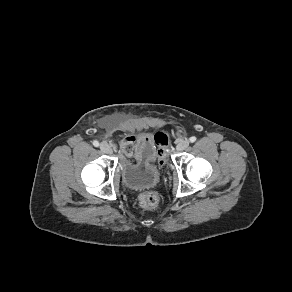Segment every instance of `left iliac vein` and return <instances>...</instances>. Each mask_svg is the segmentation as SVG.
I'll return each instance as SVG.
<instances>
[{"mask_svg": "<svg viewBox=\"0 0 292 292\" xmlns=\"http://www.w3.org/2000/svg\"><path fill=\"white\" fill-rule=\"evenodd\" d=\"M189 146V141L188 140H180L177 144V151H183Z\"/></svg>", "mask_w": 292, "mask_h": 292, "instance_id": "left-iliac-vein-1", "label": "left iliac vein"}]
</instances>
